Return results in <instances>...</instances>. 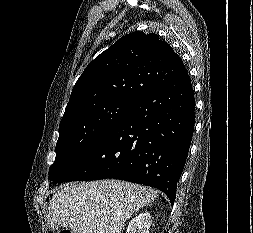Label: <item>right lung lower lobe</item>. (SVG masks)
<instances>
[{"mask_svg":"<svg viewBox=\"0 0 253 233\" xmlns=\"http://www.w3.org/2000/svg\"><path fill=\"white\" fill-rule=\"evenodd\" d=\"M194 123V92L184 67L146 90L105 139L53 181L121 179L156 187L173 205Z\"/></svg>","mask_w":253,"mask_h":233,"instance_id":"98d812e1","label":"right lung lower lobe"}]
</instances>
